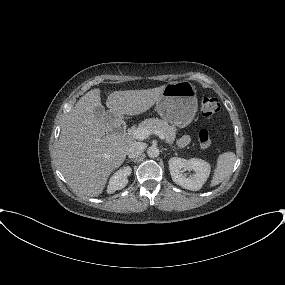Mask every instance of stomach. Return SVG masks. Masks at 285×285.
<instances>
[{
    "instance_id": "1",
    "label": "stomach",
    "mask_w": 285,
    "mask_h": 285,
    "mask_svg": "<svg viewBox=\"0 0 285 285\" xmlns=\"http://www.w3.org/2000/svg\"><path fill=\"white\" fill-rule=\"evenodd\" d=\"M197 108L196 89L189 81L168 83L156 103V109L161 118L177 127L190 124L196 115Z\"/></svg>"
}]
</instances>
